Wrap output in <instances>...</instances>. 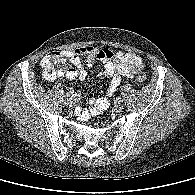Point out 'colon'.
I'll return each instance as SVG.
<instances>
[{
    "instance_id": "1",
    "label": "colon",
    "mask_w": 195,
    "mask_h": 195,
    "mask_svg": "<svg viewBox=\"0 0 195 195\" xmlns=\"http://www.w3.org/2000/svg\"><path fill=\"white\" fill-rule=\"evenodd\" d=\"M41 66L45 78L53 80L67 71V58L61 52H52L42 59ZM136 80L142 83L146 80V76L140 73L137 75Z\"/></svg>"
}]
</instances>
